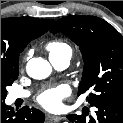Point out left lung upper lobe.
<instances>
[{
    "instance_id": "left-lung-upper-lobe-1",
    "label": "left lung upper lobe",
    "mask_w": 123,
    "mask_h": 123,
    "mask_svg": "<svg viewBox=\"0 0 123 123\" xmlns=\"http://www.w3.org/2000/svg\"><path fill=\"white\" fill-rule=\"evenodd\" d=\"M50 32H62L80 48L84 69L78 95L90 92L91 106L123 100V37L112 25L94 16H70L59 19Z\"/></svg>"
}]
</instances>
